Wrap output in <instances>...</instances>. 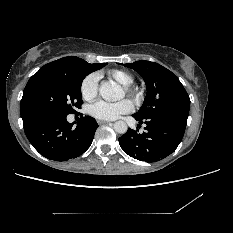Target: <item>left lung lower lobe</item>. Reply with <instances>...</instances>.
<instances>
[{"instance_id": "1", "label": "left lung lower lobe", "mask_w": 233, "mask_h": 233, "mask_svg": "<svg viewBox=\"0 0 233 233\" xmlns=\"http://www.w3.org/2000/svg\"><path fill=\"white\" fill-rule=\"evenodd\" d=\"M133 117L146 124V131L140 134L128 129L119 138V144L126 154L146 162H157L173 153L183 138L187 123V119L179 118Z\"/></svg>"}]
</instances>
